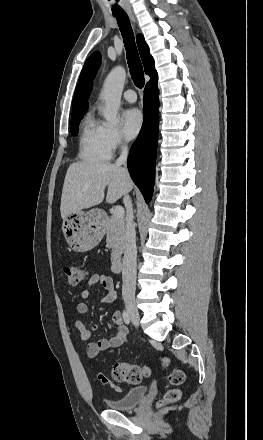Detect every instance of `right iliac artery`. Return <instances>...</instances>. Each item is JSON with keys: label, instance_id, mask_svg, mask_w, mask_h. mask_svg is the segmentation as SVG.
Listing matches in <instances>:
<instances>
[{"label": "right iliac artery", "instance_id": "right-iliac-artery-1", "mask_svg": "<svg viewBox=\"0 0 263 440\" xmlns=\"http://www.w3.org/2000/svg\"><path fill=\"white\" fill-rule=\"evenodd\" d=\"M123 319H124V322H125L127 325L130 324V320H131V318H130V316H129V313H128L126 310L123 311Z\"/></svg>", "mask_w": 263, "mask_h": 440}]
</instances>
